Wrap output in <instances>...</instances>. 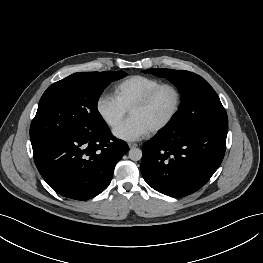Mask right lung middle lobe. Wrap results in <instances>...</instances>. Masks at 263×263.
<instances>
[{
  "label": "right lung middle lobe",
  "instance_id": "right-lung-middle-lobe-1",
  "mask_svg": "<svg viewBox=\"0 0 263 263\" xmlns=\"http://www.w3.org/2000/svg\"><path fill=\"white\" fill-rule=\"evenodd\" d=\"M125 76L123 71L80 72L49 86L30 126L32 148L62 135L105 126L98 99L112 81Z\"/></svg>",
  "mask_w": 263,
  "mask_h": 263
}]
</instances>
